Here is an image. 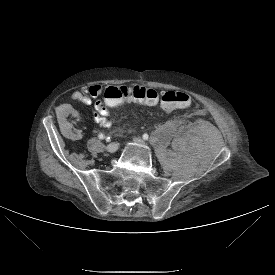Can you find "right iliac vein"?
<instances>
[{
	"mask_svg": "<svg viewBox=\"0 0 275 275\" xmlns=\"http://www.w3.org/2000/svg\"><path fill=\"white\" fill-rule=\"evenodd\" d=\"M118 150V144L113 142L107 145L106 151L110 154L115 153Z\"/></svg>",
	"mask_w": 275,
	"mask_h": 275,
	"instance_id": "obj_1",
	"label": "right iliac vein"
}]
</instances>
